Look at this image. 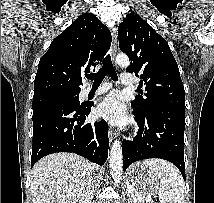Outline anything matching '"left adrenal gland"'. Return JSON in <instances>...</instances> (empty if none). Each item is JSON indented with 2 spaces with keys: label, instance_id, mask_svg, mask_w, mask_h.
Returning a JSON list of instances; mask_svg holds the SVG:
<instances>
[{
  "label": "left adrenal gland",
  "instance_id": "a2214340",
  "mask_svg": "<svg viewBox=\"0 0 214 203\" xmlns=\"http://www.w3.org/2000/svg\"><path fill=\"white\" fill-rule=\"evenodd\" d=\"M128 200H129V202H128V203H130V202H131L130 194H128Z\"/></svg>",
  "mask_w": 214,
  "mask_h": 203
}]
</instances>
